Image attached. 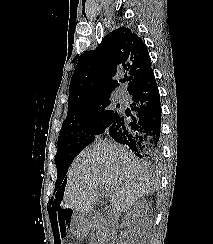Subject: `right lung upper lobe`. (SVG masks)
<instances>
[{"label":"right lung upper lobe","mask_w":213,"mask_h":244,"mask_svg":"<svg viewBox=\"0 0 213 244\" xmlns=\"http://www.w3.org/2000/svg\"><path fill=\"white\" fill-rule=\"evenodd\" d=\"M117 69L128 77L129 93L152 70L146 45L127 27L113 30L96 50L79 56L70 82L68 109L110 96L119 86L113 80Z\"/></svg>","instance_id":"obj_1"}]
</instances>
